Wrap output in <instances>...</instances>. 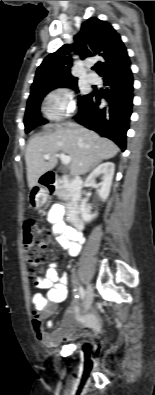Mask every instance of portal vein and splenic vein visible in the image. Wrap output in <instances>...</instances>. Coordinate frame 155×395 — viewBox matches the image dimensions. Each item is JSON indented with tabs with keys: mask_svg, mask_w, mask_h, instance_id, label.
<instances>
[{
	"mask_svg": "<svg viewBox=\"0 0 155 395\" xmlns=\"http://www.w3.org/2000/svg\"><path fill=\"white\" fill-rule=\"evenodd\" d=\"M57 156L60 157L61 162H62V164H64V165L69 164L70 161H71V157L65 155L64 153L58 154ZM49 158H50V155H49V154H45V155H44V159L48 160Z\"/></svg>",
	"mask_w": 155,
	"mask_h": 395,
	"instance_id": "portal-vein-and-splenic-vein-1",
	"label": "portal vein and splenic vein"
}]
</instances>
